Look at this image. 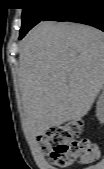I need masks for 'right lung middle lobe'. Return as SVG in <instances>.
Listing matches in <instances>:
<instances>
[{"label": "right lung middle lobe", "instance_id": "1", "mask_svg": "<svg viewBox=\"0 0 104 169\" xmlns=\"http://www.w3.org/2000/svg\"><path fill=\"white\" fill-rule=\"evenodd\" d=\"M57 5L58 3L55 0H23L22 26L19 39H22L36 24L43 21Z\"/></svg>", "mask_w": 104, "mask_h": 169}]
</instances>
